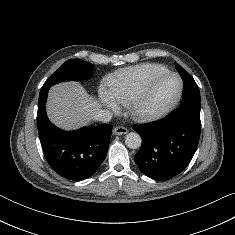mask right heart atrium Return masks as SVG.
I'll use <instances>...</instances> for the list:
<instances>
[{
  "label": "right heart atrium",
  "instance_id": "1",
  "mask_svg": "<svg viewBox=\"0 0 235 235\" xmlns=\"http://www.w3.org/2000/svg\"><path fill=\"white\" fill-rule=\"evenodd\" d=\"M100 97L102 102L111 110L115 111L117 109V105L115 103V101L111 98V96L105 92V91H101L100 93Z\"/></svg>",
  "mask_w": 235,
  "mask_h": 235
}]
</instances>
